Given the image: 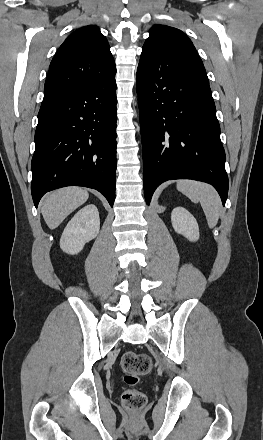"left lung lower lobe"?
I'll list each match as a JSON object with an SVG mask.
<instances>
[{
    "label": "left lung lower lobe",
    "mask_w": 263,
    "mask_h": 440,
    "mask_svg": "<svg viewBox=\"0 0 263 440\" xmlns=\"http://www.w3.org/2000/svg\"><path fill=\"white\" fill-rule=\"evenodd\" d=\"M137 92L146 203L164 181L193 179L213 185L225 205V151L209 83L172 61L139 64Z\"/></svg>",
    "instance_id": "1"
}]
</instances>
